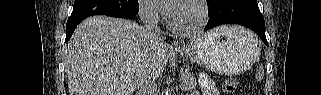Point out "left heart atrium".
Here are the masks:
<instances>
[{
    "label": "left heart atrium",
    "instance_id": "39dd6f15",
    "mask_svg": "<svg viewBox=\"0 0 321 95\" xmlns=\"http://www.w3.org/2000/svg\"><path fill=\"white\" fill-rule=\"evenodd\" d=\"M176 0H159V3H162V10L170 16H173L177 10L180 8L178 6H170L169 3L175 2ZM182 2V1H181Z\"/></svg>",
    "mask_w": 321,
    "mask_h": 95
}]
</instances>
